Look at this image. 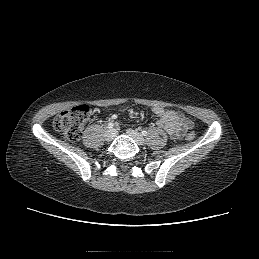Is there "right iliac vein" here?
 Segmentation results:
<instances>
[{
    "label": "right iliac vein",
    "instance_id": "63e3f726",
    "mask_svg": "<svg viewBox=\"0 0 259 259\" xmlns=\"http://www.w3.org/2000/svg\"><path fill=\"white\" fill-rule=\"evenodd\" d=\"M104 137H105L106 141H108V142L112 141L115 137V130H113V129L106 130Z\"/></svg>",
    "mask_w": 259,
    "mask_h": 259
}]
</instances>
